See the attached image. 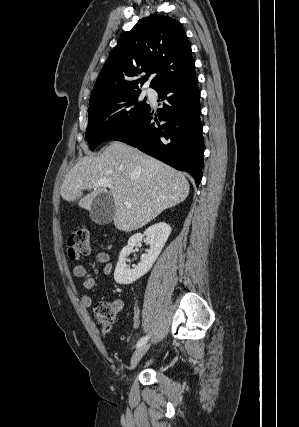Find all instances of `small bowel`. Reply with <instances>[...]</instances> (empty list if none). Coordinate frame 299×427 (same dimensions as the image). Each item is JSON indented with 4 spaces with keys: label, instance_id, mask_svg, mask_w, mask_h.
Here are the masks:
<instances>
[{
    "label": "small bowel",
    "instance_id": "1",
    "mask_svg": "<svg viewBox=\"0 0 299 427\" xmlns=\"http://www.w3.org/2000/svg\"><path fill=\"white\" fill-rule=\"evenodd\" d=\"M96 262L103 266L102 272L104 275H109L113 270V265L109 262V256L107 253L101 252L96 255ZM73 273L76 277L82 280V286L85 290H93L96 285L94 277L86 270L81 264H75L73 266ZM82 305L85 308H90L93 305V297L90 295H84L82 297ZM124 302L121 299H117L112 304L113 311L117 314L122 311ZM141 321V312L139 308H135L133 311V322L134 326L138 327Z\"/></svg>",
    "mask_w": 299,
    "mask_h": 427
}]
</instances>
